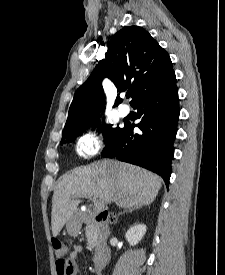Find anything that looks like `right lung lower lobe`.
Segmentation results:
<instances>
[{"mask_svg": "<svg viewBox=\"0 0 225 275\" xmlns=\"http://www.w3.org/2000/svg\"><path fill=\"white\" fill-rule=\"evenodd\" d=\"M132 106L138 109L137 118L141 121L136 126L142 134H134L135 125L126 123L107 143L102 156L147 168L159 174L168 186L180 113L176 79L163 89L142 96Z\"/></svg>", "mask_w": 225, "mask_h": 275, "instance_id": "right-lung-lower-lobe-1", "label": "right lung lower lobe"}]
</instances>
